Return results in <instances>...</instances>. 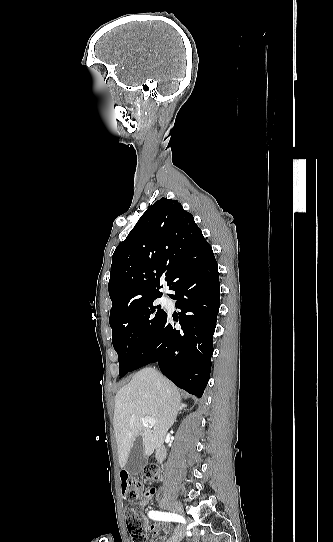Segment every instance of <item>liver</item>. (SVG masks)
<instances>
[{
    "mask_svg": "<svg viewBox=\"0 0 333 542\" xmlns=\"http://www.w3.org/2000/svg\"><path fill=\"white\" fill-rule=\"evenodd\" d=\"M182 410L176 386L154 368H143L115 396L113 428L120 468H125L136 438L141 436L145 456L164 444L166 434ZM151 416L155 426L146 428L142 418Z\"/></svg>",
    "mask_w": 333,
    "mask_h": 542,
    "instance_id": "1",
    "label": "liver"
}]
</instances>
